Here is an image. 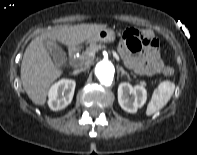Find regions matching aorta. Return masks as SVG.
Here are the masks:
<instances>
[{
	"label": "aorta",
	"mask_w": 197,
	"mask_h": 155,
	"mask_svg": "<svg viewBox=\"0 0 197 155\" xmlns=\"http://www.w3.org/2000/svg\"><path fill=\"white\" fill-rule=\"evenodd\" d=\"M115 66L108 60L99 61L94 69L96 78L103 84H109L115 75Z\"/></svg>",
	"instance_id": "aorta-1"
}]
</instances>
